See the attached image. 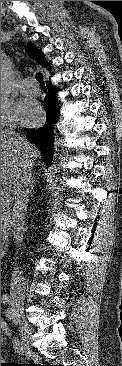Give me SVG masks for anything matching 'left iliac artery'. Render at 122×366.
<instances>
[{
    "mask_svg": "<svg viewBox=\"0 0 122 366\" xmlns=\"http://www.w3.org/2000/svg\"><path fill=\"white\" fill-rule=\"evenodd\" d=\"M10 314H11V312L9 311V312L7 313V316H9V317H10Z\"/></svg>",
    "mask_w": 122,
    "mask_h": 366,
    "instance_id": "obj_1",
    "label": "left iliac artery"
}]
</instances>
